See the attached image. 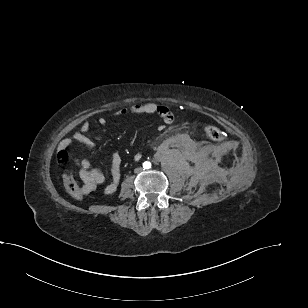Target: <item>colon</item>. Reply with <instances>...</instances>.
Returning <instances> with one entry per match:
<instances>
[{
	"mask_svg": "<svg viewBox=\"0 0 308 308\" xmlns=\"http://www.w3.org/2000/svg\"><path fill=\"white\" fill-rule=\"evenodd\" d=\"M203 130L205 135L214 140V141H222L224 139L223 132L214 125L204 124ZM58 159L62 163H66L69 159V154L67 150L61 149L58 152ZM64 185L66 190L77 200L83 198L85 194L88 193L86 189L81 187L74 177V172L71 169H67L64 173L63 177Z\"/></svg>",
	"mask_w": 308,
	"mask_h": 308,
	"instance_id": "colon-1",
	"label": "colon"
}]
</instances>
